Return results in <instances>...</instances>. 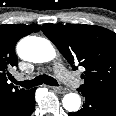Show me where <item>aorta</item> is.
I'll return each mask as SVG.
<instances>
[{
    "mask_svg": "<svg viewBox=\"0 0 116 116\" xmlns=\"http://www.w3.org/2000/svg\"><path fill=\"white\" fill-rule=\"evenodd\" d=\"M18 55L26 61L45 63L56 57V51L51 42L45 38L27 36L17 45ZM63 107L69 112L78 111L81 98L76 93L66 94L62 100Z\"/></svg>",
    "mask_w": 116,
    "mask_h": 116,
    "instance_id": "762f6f07",
    "label": "aorta"
}]
</instances>
